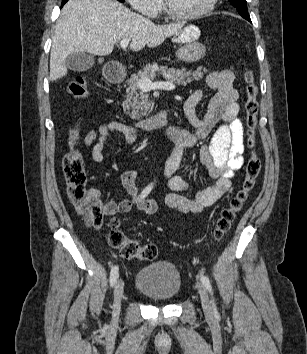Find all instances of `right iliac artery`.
Here are the masks:
<instances>
[{"instance_id":"right-iliac-artery-1","label":"right iliac artery","mask_w":307,"mask_h":354,"mask_svg":"<svg viewBox=\"0 0 307 354\" xmlns=\"http://www.w3.org/2000/svg\"><path fill=\"white\" fill-rule=\"evenodd\" d=\"M152 185H148L140 194L139 199H144L145 197H147V195L150 193V191L152 190ZM118 266H114L111 269L110 272V285L113 287L117 278H118Z\"/></svg>"}]
</instances>
